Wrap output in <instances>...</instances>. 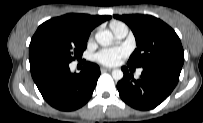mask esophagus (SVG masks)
Masks as SVG:
<instances>
[{
  "label": "esophagus",
  "instance_id": "1",
  "mask_svg": "<svg viewBox=\"0 0 203 123\" xmlns=\"http://www.w3.org/2000/svg\"><path fill=\"white\" fill-rule=\"evenodd\" d=\"M101 71H102V72L112 71V68H105V67H102V68H101Z\"/></svg>",
  "mask_w": 203,
  "mask_h": 123
}]
</instances>
